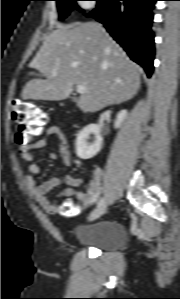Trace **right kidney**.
<instances>
[{
  "mask_svg": "<svg viewBox=\"0 0 180 299\" xmlns=\"http://www.w3.org/2000/svg\"><path fill=\"white\" fill-rule=\"evenodd\" d=\"M127 111L121 110L115 120V128H119L126 118ZM94 135V141L89 142L90 135ZM102 148V137L100 128L96 124H90L83 128L77 135L76 139V154L81 159H90L94 157Z\"/></svg>",
  "mask_w": 180,
  "mask_h": 299,
  "instance_id": "ca27d5eb",
  "label": "right kidney"
}]
</instances>
